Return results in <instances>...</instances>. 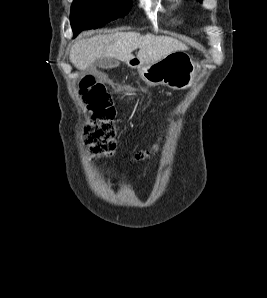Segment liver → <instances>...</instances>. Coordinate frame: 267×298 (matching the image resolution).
Masks as SVG:
<instances>
[{"label":"liver","instance_id":"1","mask_svg":"<svg viewBox=\"0 0 267 298\" xmlns=\"http://www.w3.org/2000/svg\"><path fill=\"white\" fill-rule=\"evenodd\" d=\"M136 49H139L137 59L150 64L160 61L173 52L188 50V47L168 36L116 32L76 41L70 52V61L77 69L85 70L96 60L103 58L129 62L134 59L132 52Z\"/></svg>","mask_w":267,"mask_h":298}]
</instances>
